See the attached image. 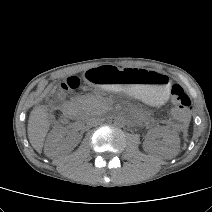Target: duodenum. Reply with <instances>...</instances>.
<instances>
[{
  "instance_id": "duodenum-1",
  "label": "duodenum",
  "mask_w": 212,
  "mask_h": 212,
  "mask_svg": "<svg viewBox=\"0 0 212 212\" xmlns=\"http://www.w3.org/2000/svg\"><path fill=\"white\" fill-rule=\"evenodd\" d=\"M63 114L67 117H74L75 116V109L71 104H65L63 107Z\"/></svg>"
}]
</instances>
